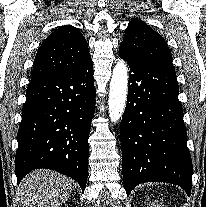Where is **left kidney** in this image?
<instances>
[{
    "instance_id": "left-kidney-1",
    "label": "left kidney",
    "mask_w": 206,
    "mask_h": 207,
    "mask_svg": "<svg viewBox=\"0 0 206 207\" xmlns=\"http://www.w3.org/2000/svg\"><path fill=\"white\" fill-rule=\"evenodd\" d=\"M149 207H165L159 201L155 200L149 204Z\"/></svg>"
}]
</instances>
